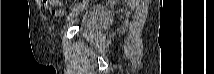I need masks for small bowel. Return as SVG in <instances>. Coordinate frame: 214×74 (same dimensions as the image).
<instances>
[{"instance_id":"small-bowel-1","label":"small bowel","mask_w":214,"mask_h":74,"mask_svg":"<svg viewBox=\"0 0 214 74\" xmlns=\"http://www.w3.org/2000/svg\"><path fill=\"white\" fill-rule=\"evenodd\" d=\"M55 3V2H54ZM52 1H45L44 2V6H45V8H51V7H53V6H55L56 4H54ZM64 14V11H58V10H54L53 12H52V15L53 16H55V17H57V16H61V15H63Z\"/></svg>"}]
</instances>
